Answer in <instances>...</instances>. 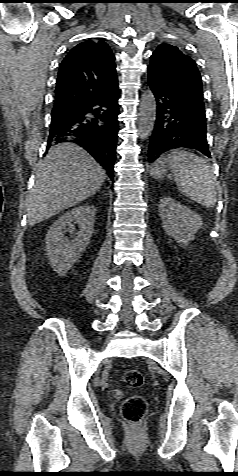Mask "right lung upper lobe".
Segmentation results:
<instances>
[{
    "label": "right lung upper lobe",
    "mask_w": 238,
    "mask_h": 476,
    "mask_svg": "<svg viewBox=\"0 0 238 476\" xmlns=\"http://www.w3.org/2000/svg\"><path fill=\"white\" fill-rule=\"evenodd\" d=\"M114 60L101 39L73 47L59 67L53 110L78 109L117 85Z\"/></svg>",
    "instance_id": "obj_1"
}]
</instances>
